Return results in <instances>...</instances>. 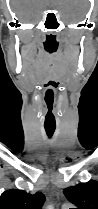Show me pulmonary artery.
Instances as JSON below:
<instances>
[{"label": "pulmonary artery", "mask_w": 98, "mask_h": 209, "mask_svg": "<svg viewBox=\"0 0 98 209\" xmlns=\"http://www.w3.org/2000/svg\"><path fill=\"white\" fill-rule=\"evenodd\" d=\"M62 209H68V206L65 204L62 206Z\"/></svg>", "instance_id": "obj_1"}]
</instances>
